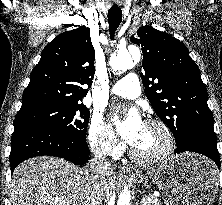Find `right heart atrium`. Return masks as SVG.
<instances>
[{"mask_svg": "<svg viewBox=\"0 0 222 205\" xmlns=\"http://www.w3.org/2000/svg\"><path fill=\"white\" fill-rule=\"evenodd\" d=\"M87 138L90 149L98 157L114 159L121 152V144L114 132L99 116L91 119Z\"/></svg>", "mask_w": 222, "mask_h": 205, "instance_id": "d8ad5b80", "label": "right heart atrium"}]
</instances>
